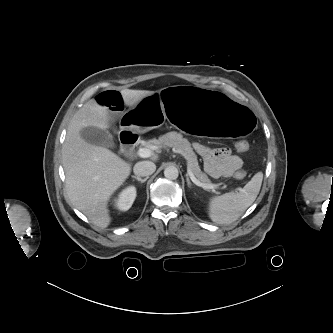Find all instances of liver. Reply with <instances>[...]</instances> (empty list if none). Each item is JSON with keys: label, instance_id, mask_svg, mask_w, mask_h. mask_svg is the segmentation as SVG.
Masks as SVG:
<instances>
[{"label": "liver", "instance_id": "6515ba94", "mask_svg": "<svg viewBox=\"0 0 333 333\" xmlns=\"http://www.w3.org/2000/svg\"><path fill=\"white\" fill-rule=\"evenodd\" d=\"M152 94L148 90L121 91L124 104L129 107ZM109 121L107 107L90 100L70 121L62 148L65 193L75 208L101 228L111 222L109 198L128 178L131 165L107 148L86 142L80 131L87 127L106 130Z\"/></svg>", "mask_w": 333, "mask_h": 333}]
</instances>
